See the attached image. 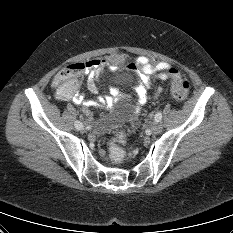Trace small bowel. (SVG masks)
<instances>
[{"instance_id": "c3829d8e", "label": "small bowel", "mask_w": 233, "mask_h": 233, "mask_svg": "<svg viewBox=\"0 0 233 233\" xmlns=\"http://www.w3.org/2000/svg\"><path fill=\"white\" fill-rule=\"evenodd\" d=\"M125 57L122 54H113L105 59H92L85 62V72L87 74V88L92 94H98L99 88L96 84V75L101 70L107 68L112 73H116L120 66L124 63ZM171 68V65L167 62L152 63L147 57L141 56L134 63H130L127 69L139 74L141 83L136 90L137 105H143L149 99L148 90L151 88L150 78L155 76L159 80H166L169 76L167 70ZM52 86L57 89V98L62 101H72L76 104L83 105V113L86 116H90L91 107L106 106L110 107L114 99L112 97L98 98L97 100L86 99L83 94L78 91L71 94H63L55 81H52ZM161 88H158V92ZM115 97H118V93H114Z\"/></svg>"}]
</instances>
